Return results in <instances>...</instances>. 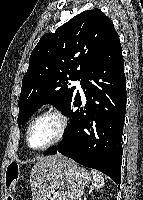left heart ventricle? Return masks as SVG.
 I'll return each instance as SVG.
<instances>
[{
	"label": "left heart ventricle",
	"mask_w": 143,
	"mask_h": 200,
	"mask_svg": "<svg viewBox=\"0 0 143 200\" xmlns=\"http://www.w3.org/2000/svg\"><path fill=\"white\" fill-rule=\"evenodd\" d=\"M59 128L60 123L54 117L48 116L39 119L31 128L29 135L30 145L34 148L46 145L56 137Z\"/></svg>",
	"instance_id": "obj_1"
}]
</instances>
